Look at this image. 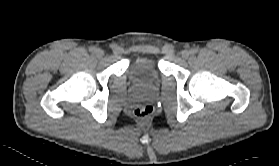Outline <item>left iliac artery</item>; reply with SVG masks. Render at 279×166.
<instances>
[{
  "label": "left iliac artery",
  "instance_id": "1",
  "mask_svg": "<svg viewBox=\"0 0 279 166\" xmlns=\"http://www.w3.org/2000/svg\"><path fill=\"white\" fill-rule=\"evenodd\" d=\"M197 51H198L197 49H192V50H191V53H192V54H195V53H197Z\"/></svg>",
  "mask_w": 279,
  "mask_h": 166
}]
</instances>
